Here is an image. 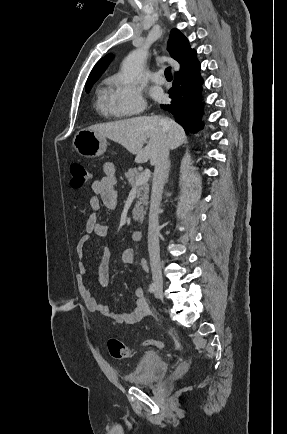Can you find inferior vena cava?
<instances>
[{"label":"inferior vena cava","mask_w":287,"mask_h":434,"mask_svg":"<svg viewBox=\"0 0 287 434\" xmlns=\"http://www.w3.org/2000/svg\"><path fill=\"white\" fill-rule=\"evenodd\" d=\"M159 122L162 126L163 136L155 158L154 176L152 183L149 227H148V252L152 278L154 282L162 283V271L160 266V247H159V205L162 199V191L166 179L168 158H169V141H168V122L165 118L160 117Z\"/></svg>","instance_id":"obj_1"}]
</instances>
